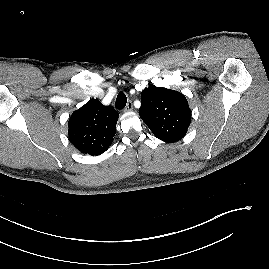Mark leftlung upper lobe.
Returning a JSON list of instances; mask_svg holds the SVG:
<instances>
[{
    "mask_svg": "<svg viewBox=\"0 0 269 269\" xmlns=\"http://www.w3.org/2000/svg\"><path fill=\"white\" fill-rule=\"evenodd\" d=\"M139 114L152 133L167 143L182 139L191 122V110L185 96L154 85L141 92Z\"/></svg>",
    "mask_w": 269,
    "mask_h": 269,
    "instance_id": "left-lung-upper-lobe-1",
    "label": "left lung upper lobe"
}]
</instances>
